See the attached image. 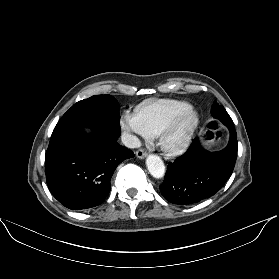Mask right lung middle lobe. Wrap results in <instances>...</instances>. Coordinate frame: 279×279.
I'll return each instance as SVG.
<instances>
[{
  "mask_svg": "<svg viewBox=\"0 0 279 279\" xmlns=\"http://www.w3.org/2000/svg\"><path fill=\"white\" fill-rule=\"evenodd\" d=\"M105 115L120 118L117 100L108 94L92 96L74 104L59 120L53 133L92 122Z\"/></svg>",
  "mask_w": 279,
  "mask_h": 279,
  "instance_id": "1",
  "label": "right lung middle lobe"
}]
</instances>
